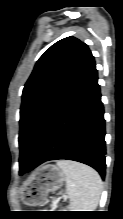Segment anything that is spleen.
<instances>
[{"mask_svg": "<svg viewBox=\"0 0 123 219\" xmlns=\"http://www.w3.org/2000/svg\"><path fill=\"white\" fill-rule=\"evenodd\" d=\"M57 165L65 173L70 208L73 211H94L102 191L99 174L89 166L70 160H59Z\"/></svg>", "mask_w": 123, "mask_h": 219, "instance_id": "obj_1", "label": "spleen"}]
</instances>
